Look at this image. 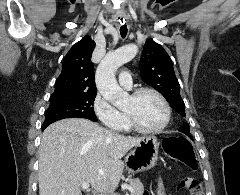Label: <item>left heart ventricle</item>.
<instances>
[{
  "label": "left heart ventricle",
  "mask_w": 240,
  "mask_h": 195,
  "mask_svg": "<svg viewBox=\"0 0 240 195\" xmlns=\"http://www.w3.org/2000/svg\"><path fill=\"white\" fill-rule=\"evenodd\" d=\"M124 109L131 110L137 121L147 128L157 127L163 120V107L151 93H145L137 100L129 98Z\"/></svg>",
  "instance_id": "obj_1"
}]
</instances>
